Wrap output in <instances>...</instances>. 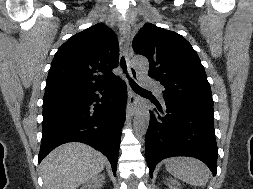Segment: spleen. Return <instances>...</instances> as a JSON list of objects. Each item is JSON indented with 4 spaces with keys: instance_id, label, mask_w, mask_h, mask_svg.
<instances>
[{
    "instance_id": "3e777b00",
    "label": "spleen",
    "mask_w": 253,
    "mask_h": 189,
    "mask_svg": "<svg viewBox=\"0 0 253 189\" xmlns=\"http://www.w3.org/2000/svg\"><path fill=\"white\" fill-rule=\"evenodd\" d=\"M165 163L166 170L170 174L192 186H203L209 180L207 166L195 158L172 157Z\"/></svg>"
}]
</instances>
